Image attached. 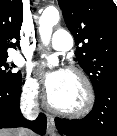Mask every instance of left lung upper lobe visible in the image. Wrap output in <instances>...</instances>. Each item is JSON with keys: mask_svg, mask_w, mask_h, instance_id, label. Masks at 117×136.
I'll list each match as a JSON object with an SVG mask.
<instances>
[{"mask_svg": "<svg viewBox=\"0 0 117 136\" xmlns=\"http://www.w3.org/2000/svg\"><path fill=\"white\" fill-rule=\"evenodd\" d=\"M77 60L97 93L117 80V8L113 0H58Z\"/></svg>", "mask_w": 117, "mask_h": 136, "instance_id": "5c2ea615", "label": "left lung upper lobe"}]
</instances>
